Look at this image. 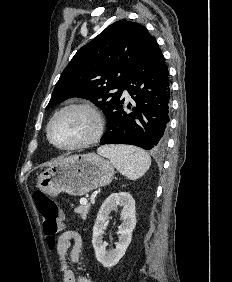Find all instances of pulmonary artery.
Here are the masks:
<instances>
[{
  "label": "pulmonary artery",
  "mask_w": 232,
  "mask_h": 282,
  "mask_svg": "<svg viewBox=\"0 0 232 282\" xmlns=\"http://www.w3.org/2000/svg\"><path fill=\"white\" fill-rule=\"evenodd\" d=\"M123 95H124L125 97H128V96H129L127 90H123Z\"/></svg>",
  "instance_id": "e3ab8cb5"
}]
</instances>
